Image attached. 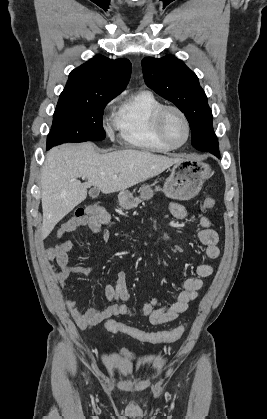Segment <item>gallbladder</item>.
Here are the masks:
<instances>
[{
    "instance_id": "gallbladder-1",
    "label": "gallbladder",
    "mask_w": 267,
    "mask_h": 419,
    "mask_svg": "<svg viewBox=\"0 0 267 419\" xmlns=\"http://www.w3.org/2000/svg\"><path fill=\"white\" fill-rule=\"evenodd\" d=\"M99 189L97 187H94L90 190L89 195L92 198H96L99 195Z\"/></svg>"
}]
</instances>
